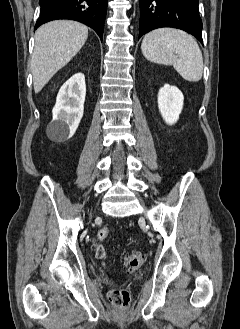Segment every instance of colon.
I'll return each instance as SVG.
<instances>
[{"label": "colon", "mask_w": 240, "mask_h": 329, "mask_svg": "<svg viewBox=\"0 0 240 329\" xmlns=\"http://www.w3.org/2000/svg\"><path fill=\"white\" fill-rule=\"evenodd\" d=\"M109 233L108 227H103L98 232V238L104 240ZM96 254L99 258L104 257V248L100 245L97 247ZM145 261V255L142 252H134L123 258L126 269L130 272L137 270ZM109 300L114 306L127 308L130 304V293L126 289H113L109 292Z\"/></svg>", "instance_id": "5ec220e1"}]
</instances>
